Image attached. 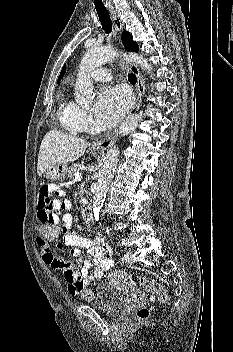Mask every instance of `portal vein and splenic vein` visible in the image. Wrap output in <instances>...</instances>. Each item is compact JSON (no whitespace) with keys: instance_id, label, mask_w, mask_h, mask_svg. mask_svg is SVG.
Here are the masks:
<instances>
[{"instance_id":"obj_1","label":"portal vein and splenic vein","mask_w":233,"mask_h":352,"mask_svg":"<svg viewBox=\"0 0 233 352\" xmlns=\"http://www.w3.org/2000/svg\"><path fill=\"white\" fill-rule=\"evenodd\" d=\"M75 180L76 181H81L82 180V175H81V173H79V171L76 172V174H75Z\"/></svg>"}]
</instances>
